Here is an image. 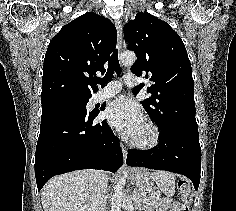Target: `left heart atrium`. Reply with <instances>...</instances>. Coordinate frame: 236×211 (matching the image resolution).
Masks as SVG:
<instances>
[{
    "label": "left heart atrium",
    "instance_id": "39dd6f15",
    "mask_svg": "<svg viewBox=\"0 0 236 211\" xmlns=\"http://www.w3.org/2000/svg\"><path fill=\"white\" fill-rule=\"evenodd\" d=\"M104 117L111 126L128 135H131L142 123L139 107L124 96H120L108 103Z\"/></svg>",
    "mask_w": 236,
    "mask_h": 211
}]
</instances>
